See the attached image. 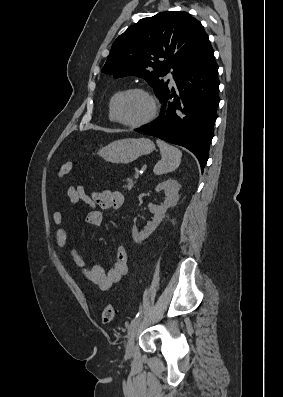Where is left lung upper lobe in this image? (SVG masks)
Segmentation results:
<instances>
[{
  "label": "left lung upper lobe",
  "instance_id": "obj_1",
  "mask_svg": "<svg viewBox=\"0 0 283 397\" xmlns=\"http://www.w3.org/2000/svg\"><path fill=\"white\" fill-rule=\"evenodd\" d=\"M211 46L201 23L187 12H161L130 26L113 43L102 73L138 76L161 97L168 85L159 77L181 69Z\"/></svg>",
  "mask_w": 283,
  "mask_h": 397
}]
</instances>
